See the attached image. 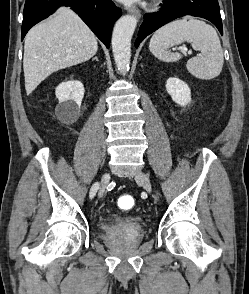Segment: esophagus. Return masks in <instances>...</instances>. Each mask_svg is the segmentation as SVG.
<instances>
[{
	"label": "esophagus",
	"mask_w": 249,
	"mask_h": 294,
	"mask_svg": "<svg viewBox=\"0 0 249 294\" xmlns=\"http://www.w3.org/2000/svg\"><path fill=\"white\" fill-rule=\"evenodd\" d=\"M129 13L136 16L137 18H140L141 17V12L138 8L136 7H132L129 9Z\"/></svg>",
	"instance_id": "obj_1"
}]
</instances>
